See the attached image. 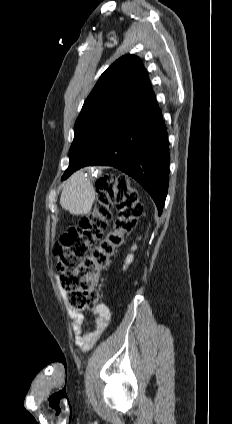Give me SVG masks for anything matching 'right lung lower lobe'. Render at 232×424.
Segmentation results:
<instances>
[{"mask_svg":"<svg viewBox=\"0 0 232 424\" xmlns=\"http://www.w3.org/2000/svg\"><path fill=\"white\" fill-rule=\"evenodd\" d=\"M88 165L113 166L134 178L151 195L161 215L168 190L169 148L156 98L133 106L129 122L113 130L81 167Z\"/></svg>","mask_w":232,"mask_h":424,"instance_id":"1","label":"right lung lower lobe"}]
</instances>
